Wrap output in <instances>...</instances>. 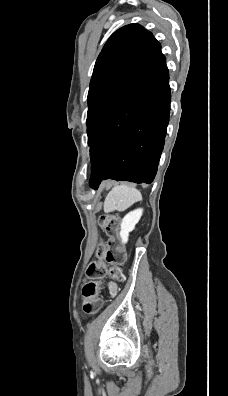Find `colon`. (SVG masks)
Returning a JSON list of instances; mask_svg holds the SVG:
<instances>
[{"label":"colon","instance_id":"obj_1","mask_svg":"<svg viewBox=\"0 0 228 396\" xmlns=\"http://www.w3.org/2000/svg\"><path fill=\"white\" fill-rule=\"evenodd\" d=\"M99 224L108 235L109 240L106 246H101L99 248V259L92 261L86 270V276L89 281L83 285L82 297L83 311L88 314L97 313L102 307L97 281L106 276V266L110 265L109 274L115 277L118 268L126 259V253L119 239V219L114 215H102L99 219Z\"/></svg>","mask_w":228,"mask_h":396}]
</instances>
